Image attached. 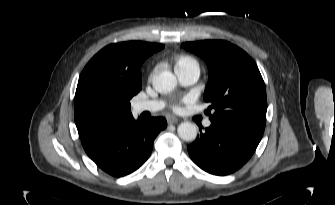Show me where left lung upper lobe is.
Wrapping results in <instances>:
<instances>
[{
  "label": "left lung upper lobe",
  "mask_w": 335,
  "mask_h": 205,
  "mask_svg": "<svg viewBox=\"0 0 335 205\" xmlns=\"http://www.w3.org/2000/svg\"><path fill=\"white\" fill-rule=\"evenodd\" d=\"M182 47L203 58L209 69L204 101L210 119H224L263 132L267 98L254 60L223 40L186 42ZM213 111V114L210 111Z\"/></svg>",
  "instance_id": "obj_1"
}]
</instances>
